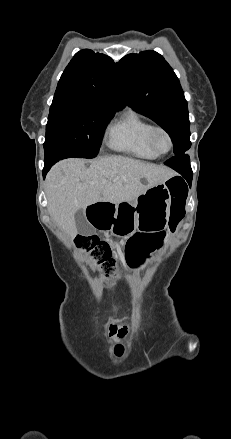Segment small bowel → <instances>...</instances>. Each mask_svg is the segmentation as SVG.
Instances as JSON below:
<instances>
[{
    "instance_id": "obj_1",
    "label": "small bowel",
    "mask_w": 231,
    "mask_h": 439,
    "mask_svg": "<svg viewBox=\"0 0 231 439\" xmlns=\"http://www.w3.org/2000/svg\"><path fill=\"white\" fill-rule=\"evenodd\" d=\"M172 231V230H171ZM169 233V227L163 226L153 231L140 230L137 235L140 236V240L136 244L129 242L127 247V256L134 263H139L148 260L154 253H156L163 245L167 235ZM110 332L118 339H123L126 335V329L121 326L112 325ZM122 346L119 345L115 352L120 355L122 353Z\"/></svg>"
}]
</instances>
